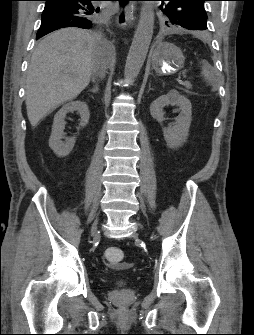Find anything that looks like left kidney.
<instances>
[{
  "label": "left kidney",
  "mask_w": 254,
  "mask_h": 335,
  "mask_svg": "<svg viewBox=\"0 0 254 335\" xmlns=\"http://www.w3.org/2000/svg\"><path fill=\"white\" fill-rule=\"evenodd\" d=\"M177 105L180 114L175 118V122L163 128L164 139L169 148L175 149L186 142L189 135V128L192 121L191 102L178 91L171 90L168 94L158 97L150 105L151 116L159 123L164 120L163 108L167 105Z\"/></svg>",
  "instance_id": "left-kidney-1"
}]
</instances>
